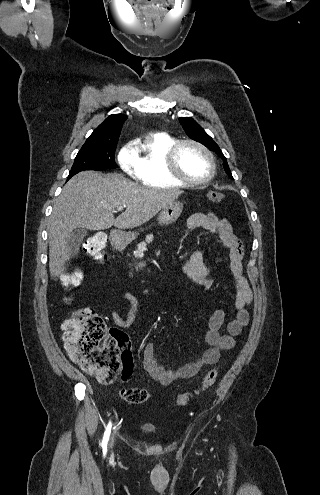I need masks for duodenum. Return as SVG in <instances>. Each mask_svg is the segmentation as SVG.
<instances>
[{"mask_svg":"<svg viewBox=\"0 0 320 495\" xmlns=\"http://www.w3.org/2000/svg\"><path fill=\"white\" fill-rule=\"evenodd\" d=\"M112 240H113V242H114L115 246H116L118 249H123V248H124V243H123V241H122V239L120 238V236H119V235L114 234V235L112 236Z\"/></svg>","mask_w":320,"mask_h":495,"instance_id":"obj_1","label":"duodenum"}]
</instances>
